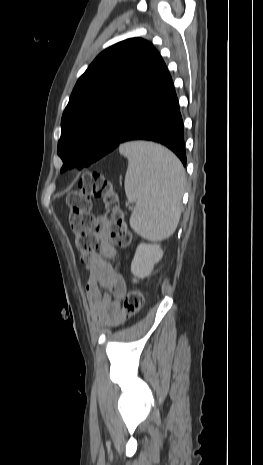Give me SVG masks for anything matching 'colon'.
Listing matches in <instances>:
<instances>
[{"label": "colon", "mask_w": 263, "mask_h": 465, "mask_svg": "<svg viewBox=\"0 0 263 465\" xmlns=\"http://www.w3.org/2000/svg\"><path fill=\"white\" fill-rule=\"evenodd\" d=\"M93 198L103 199L106 213L94 217L90 212ZM69 207L68 223L75 235V245L85 263H90L98 247L97 229L104 226L112 243L126 248L131 244V235L127 229L124 215L119 206L118 195L113 184L99 172H89L82 176L78 189L66 197ZM144 292L140 289L130 291L124 298L122 315L131 317L142 307Z\"/></svg>", "instance_id": "colon-1"}]
</instances>
